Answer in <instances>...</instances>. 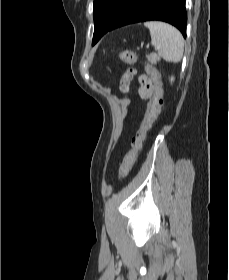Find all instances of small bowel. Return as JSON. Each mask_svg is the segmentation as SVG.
<instances>
[{"instance_id":"c3829d8e","label":"small bowel","mask_w":229,"mask_h":280,"mask_svg":"<svg viewBox=\"0 0 229 280\" xmlns=\"http://www.w3.org/2000/svg\"><path fill=\"white\" fill-rule=\"evenodd\" d=\"M147 70L150 71V67H147ZM130 81H131V79L128 80L127 82H126L124 79H122V80H121V83H122V84H126V85H127V89H128V85H129ZM139 95H140L142 98H145L141 87H140V89H139Z\"/></svg>"}]
</instances>
